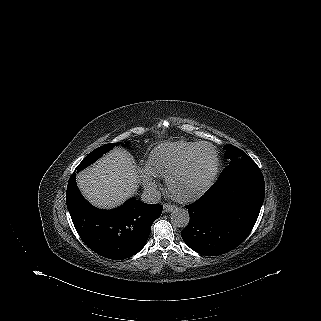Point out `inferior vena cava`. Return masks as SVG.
<instances>
[{
    "mask_svg": "<svg viewBox=\"0 0 321 321\" xmlns=\"http://www.w3.org/2000/svg\"><path fill=\"white\" fill-rule=\"evenodd\" d=\"M144 203L155 204L161 200V193L156 188L146 187L141 195Z\"/></svg>",
    "mask_w": 321,
    "mask_h": 321,
    "instance_id": "obj_1",
    "label": "inferior vena cava"
}]
</instances>
